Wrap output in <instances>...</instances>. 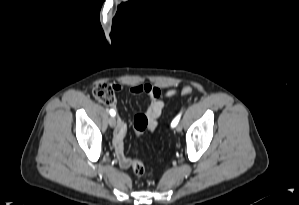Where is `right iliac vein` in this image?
Returning <instances> with one entry per match:
<instances>
[{
  "instance_id": "1",
  "label": "right iliac vein",
  "mask_w": 299,
  "mask_h": 205,
  "mask_svg": "<svg viewBox=\"0 0 299 205\" xmlns=\"http://www.w3.org/2000/svg\"><path fill=\"white\" fill-rule=\"evenodd\" d=\"M110 127L114 128L116 126V117L112 116L109 118Z\"/></svg>"
}]
</instances>
